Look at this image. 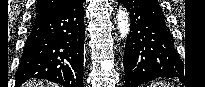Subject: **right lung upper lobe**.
<instances>
[{
	"label": "right lung upper lobe",
	"mask_w": 205,
	"mask_h": 87,
	"mask_svg": "<svg viewBox=\"0 0 205 87\" xmlns=\"http://www.w3.org/2000/svg\"><path fill=\"white\" fill-rule=\"evenodd\" d=\"M73 0H38L36 15L45 14L65 7Z\"/></svg>",
	"instance_id": "right-lung-upper-lobe-1"
}]
</instances>
